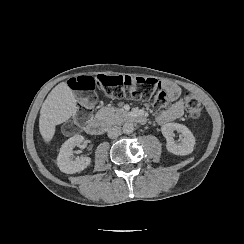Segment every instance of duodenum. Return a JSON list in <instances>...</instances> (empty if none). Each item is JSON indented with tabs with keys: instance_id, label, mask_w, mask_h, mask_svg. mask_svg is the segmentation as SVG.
Listing matches in <instances>:
<instances>
[{
	"instance_id": "duodenum-1",
	"label": "duodenum",
	"mask_w": 244,
	"mask_h": 244,
	"mask_svg": "<svg viewBox=\"0 0 244 244\" xmlns=\"http://www.w3.org/2000/svg\"><path fill=\"white\" fill-rule=\"evenodd\" d=\"M125 122H133L137 124H145L146 117L142 114H128L124 116ZM111 123L107 120L92 119L86 123V132L93 136H101L107 129L111 127Z\"/></svg>"
}]
</instances>
